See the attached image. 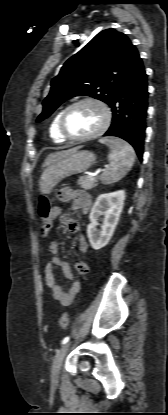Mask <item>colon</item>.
<instances>
[{
  "instance_id": "1",
  "label": "colon",
  "mask_w": 168,
  "mask_h": 415,
  "mask_svg": "<svg viewBox=\"0 0 168 415\" xmlns=\"http://www.w3.org/2000/svg\"><path fill=\"white\" fill-rule=\"evenodd\" d=\"M39 215L41 217V230L44 234H46L53 223L55 210L52 209L50 201L47 197L42 196L39 201V208H38ZM60 327L62 329H66L69 325V317L67 313L62 314L60 317Z\"/></svg>"
}]
</instances>
